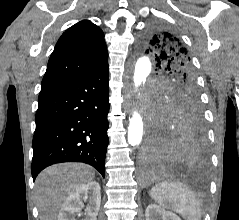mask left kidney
<instances>
[{"instance_id": "left-kidney-1", "label": "left kidney", "mask_w": 239, "mask_h": 220, "mask_svg": "<svg viewBox=\"0 0 239 220\" xmlns=\"http://www.w3.org/2000/svg\"><path fill=\"white\" fill-rule=\"evenodd\" d=\"M146 220H181L175 213L166 211L156 204H150L145 211Z\"/></svg>"}]
</instances>
